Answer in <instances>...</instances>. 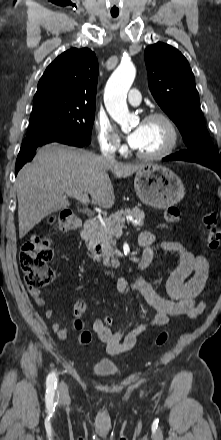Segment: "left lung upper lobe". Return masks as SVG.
I'll list each match as a JSON object with an SVG mask.
<instances>
[{
	"mask_svg": "<svg viewBox=\"0 0 221 440\" xmlns=\"http://www.w3.org/2000/svg\"><path fill=\"white\" fill-rule=\"evenodd\" d=\"M144 58L150 91L176 124L188 147L176 155L211 169L221 168L220 155L207 131L194 74L186 58L161 42L148 46Z\"/></svg>",
	"mask_w": 221,
	"mask_h": 440,
	"instance_id": "5c2ea615",
	"label": "left lung upper lobe"
}]
</instances>
